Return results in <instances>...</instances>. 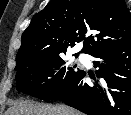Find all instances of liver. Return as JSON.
I'll return each instance as SVG.
<instances>
[{"instance_id":"obj_1","label":"liver","mask_w":131,"mask_h":115,"mask_svg":"<svg viewBox=\"0 0 131 115\" xmlns=\"http://www.w3.org/2000/svg\"><path fill=\"white\" fill-rule=\"evenodd\" d=\"M5 115H81L78 111L67 106H51L35 104L22 100L14 102Z\"/></svg>"}]
</instances>
